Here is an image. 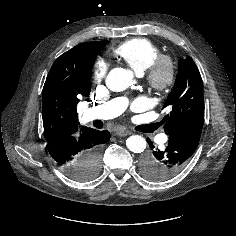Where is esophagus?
<instances>
[{"instance_id": "34e87169", "label": "esophagus", "mask_w": 236, "mask_h": 236, "mask_svg": "<svg viewBox=\"0 0 236 236\" xmlns=\"http://www.w3.org/2000/svg\"><path fill=\"white\" fill-rule=\"evenodd\" d=\"M130 134H131V132L128 130H125V129H118L116 131V135H118V136H128Z\"/></svg>"}]
</instances>
